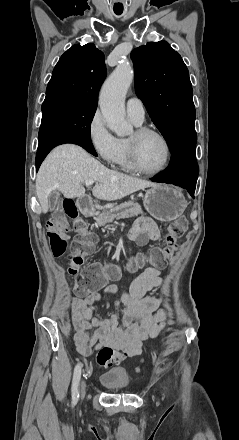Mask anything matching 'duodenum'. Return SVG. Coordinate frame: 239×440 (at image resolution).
<instances>
[{
  "mask_svg": "<svg viewBox=\"0 0 239 440\" xmlns=\"http://www.w3.org/2000/svg\"><path fill=\"white\" fill-rule=\"evenodd\" d=\"M77 206L79 211L82 214H90L91 213V200L88 196H81L78 200H77Z\"/></svg>",
  "mask_w": 239,
  "mask_h": 440,
  "instance_id": "obj_1",
  "label": "duodenum"
}]
</instances>
